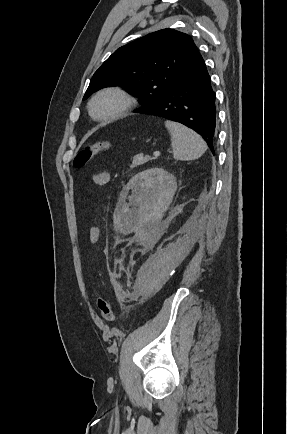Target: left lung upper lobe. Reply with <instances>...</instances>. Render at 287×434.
<instances>
[{"mask_svg":"<svg viewBox=\"0 0 287 434\" xmlns=\"http://www.w3.org/2000/svg\"><path fill=\"white\" fill-rule=\"evenodd\" d=\"M201 58L185 33L173 29L150 33L117 49L94 73L83 100L101 88L119 85L139 97L142 108L154 105Z\"/></svg>","mask_w":287,"mask_h":434,"instance_id":"obj_1","label":"left lung upper lobe"}]
</instances>
